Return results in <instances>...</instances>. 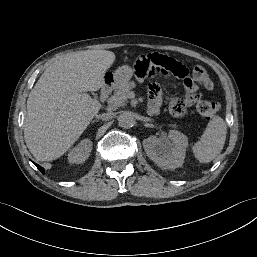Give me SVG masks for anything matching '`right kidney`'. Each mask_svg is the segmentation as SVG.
Returning a JSON list of instances; mask_svg holds the SVG:
<instances>
[{
    "mask_svg": "<svg viewBox=\"0 0 257 257\" xmlns=\"http://www.w3.org/2000/svg\"><path fill=\"white\" fill-rule=\"evenodd\" d=\"M92 150V142L84 139L68 153V161L70 163L81 164L89 157Z\"/></svg>",
    "mask_w": 257,
    "mask_h": 257,
    "instance_id": "obj_1",
    "label": "right kidney"
}]
</instances>
